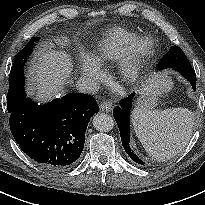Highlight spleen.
Here are the masks:
<instances>
[{
    "label": "spleen",
    "instance_id": "spleen-1",
    "mask_svg": "<svg viewBox=\"0 0 205 205\" xmlns=\"http://www.w3.org/2000/svg\"><path fill=\"white\" fill-rule=\"evenodd\" d=\"M194 113L186 108L163 111L135 109L132 124L146 152L157 161H166L188 144L193 130Z\"/></svg>",
    "mask_w": 205,
    "mask_h": 205
}]
</instances>
